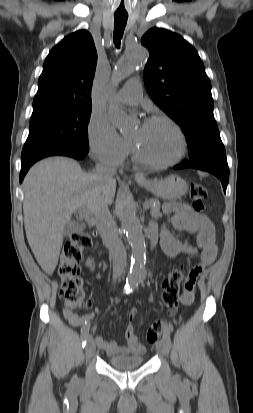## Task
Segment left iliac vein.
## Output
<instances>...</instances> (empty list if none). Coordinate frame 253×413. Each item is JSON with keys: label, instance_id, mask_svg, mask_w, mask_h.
<instances>
[{"label": "left iliac vein", "instance_id": "left-iliac-vein-1", "mask_svg": "<svg viewBox=\"0 0 253 413\" xmlns=\"http://www.w3.org/2000/svg\"><path fill=\"white\" fill-rule=\"evenodd\" d=\"M156 350L162 356L168 355V346L162 340L156 344Z\"/></svg>", "mask_w": 253, "mask_h": 413}]
</instances>
